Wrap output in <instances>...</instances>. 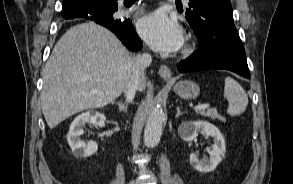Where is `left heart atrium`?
Instances as JSON below:
<instances>
[{
	"mask_svg": "<svg viewBox=\"0 0 293 184\" xmlns=\"http://www.w3.org/2000/svg\"><path fill=\"white\" fill-rule=\"evenodd\" d=\"M137 28L141 37L159 51L174 52L183 44L181 26L163 12H154L142 17Z\"/></svg>",
	"mask_w": 293,
	"mask_h": 184,
	"instance_id": "left-heart-atrium-1",
	"label": "left heart atrium"
}]
</instances>
